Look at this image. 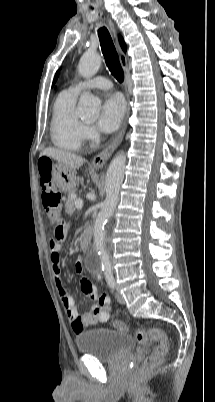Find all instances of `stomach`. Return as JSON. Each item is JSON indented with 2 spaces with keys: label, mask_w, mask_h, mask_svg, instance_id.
Returning a JSON list of instances; mask_svg holds the SVG:
<instances>
[{
  "label": "stomach",
  "mask_w": 215,
  "mask_h": 402,
  "mask_svg": "<svg viewBox=\"0 0 215 402\" xmlns=\"http://www.w3.org/2000/svg\"><path fill=\"white\" fill-rule=\"evenodd\" d=\"M51 178L54 184L63 192H70L76 186V172L73 169L57 162L53 163Z\"/></svg>",
  "instance_id": "stomach-1"
}]
</instances>
